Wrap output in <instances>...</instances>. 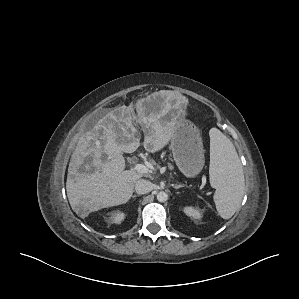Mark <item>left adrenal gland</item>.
Here are the masks:
<instances>
[{
  "label": "left adrenal gland",
  "mask_w": 299,
  "mask_h": 299,
  "mask_svg": "<svg viewBox=\"0 0 299 299\" xmlns=\"http://www.w3.org/2000/svg\"><path fill=\"white\" fill-rule=\"evenodd\" d=\"M182 187H185V185L179 184V185L174 186L175 189H179V188H182Z\"/></svg>",
  "instance_id": "1"
}]
</instances>
